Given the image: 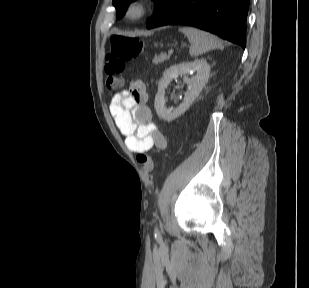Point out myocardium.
<instances>
[{
  "instance_id": "1",
  "label": "myocardium",
  "mask_w": 309,
  "mask_h": 288,
  "mask_svg": "<svg viewBox=\"0 0 309 288\" xmlns=\"http://www.w3.org/2000/svg\"><path fill=\"white\" fill-rule=\"evenodd\" d=\"M151 5L148 0H129L124 9V17L131 22L145 18L150 12Z\"/></svg>"
}]
</instances>
